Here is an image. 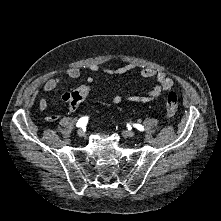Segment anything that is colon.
I'll return each instance as SVG.
<instances>
[{
    "mask_svg": "<svg viewBox=\"0 0 221 221\" xmlns=\"http://www.w3.org/2000/svg\"><path fill=\"white\" fill-rule=\"evenodd\" d=\"M89 93L87 86L81 87L74 91L71 96V103L73 105L78 104ZM178 103L177 96L174 92H169L165 98V115L168 120H173L177 111Z\"/></svg>",
    "mask_w": 221,
    "mask_h": 221,
    "instance_id": "colon-1",
    "label": "colon"
}]
</instances>
